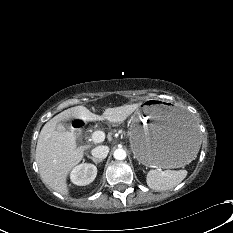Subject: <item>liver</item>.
I'll use <instances>...</instances> for the list:
<instances>
[{
	"mask_svg": "<svg viewBox=\"0 0 233 233\" xmlns=\"http://www.w3.org/2000/svg\"><path fill=\"white\" fill-rule=\"evenodd\" d=\"M140 105L141 103H136L107 108L102 116L93 114L84 106H76L64 110L49 120L39 134L36 147V162L43 183L58 193L68 195L67 176L82 160L84 151L89 148V146L77 147L73 132L59 130L57 125L61 121L75 118L81 121L123 122Z\"/></svg>",
	"mask_w": 233,
	"mask_h": 233,
	"instance_id": "6515ba94",
	"label": "liver"
}]
</instances>
